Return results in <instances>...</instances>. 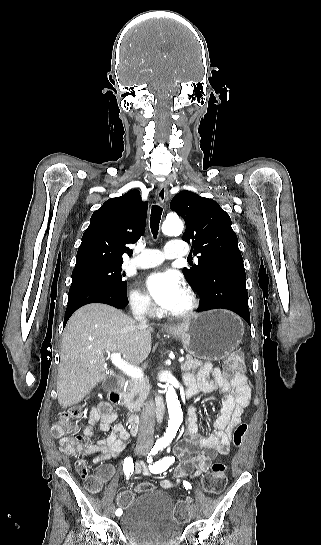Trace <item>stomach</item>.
Masks as SVG:
<instances>
[{"mask_svg": "<svg viewBox=\"0 0 321 545\" xmlns=\"http://www.w3.org/2000/svg\"><path fill=\"white\" fill-rule=\"evenodd\" d=\"M181 341L185 351L197 359L218 361L225 359L240 345L244 325L237 315L230 311H206L189 317L180 325L167 329Z\"/></svg>", "mask_w": 321, "mask_h": 545, "instance_id": "stomach-1", "label": "stomach"}]
</instances>
